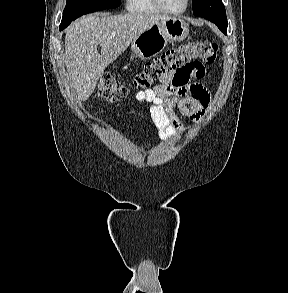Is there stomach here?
Listing matches in <instances>:
<instances>
[{"label":"stomach","mask_w":288,"mask_h":293,"mask_svg":"<svg viewBox=\"0 0 288 293\" xmlns=\"http://www.w3.org/2000/svg\"><path fill=\"white\" fill-rule=\"evenodd\" d=\"M189 26L176 17H166L141 33L131 43L130 58L149 59L161 53L169 41H183Z\"/></svg>","instance_id":"0dacf381"}]
</instances>
